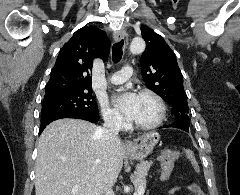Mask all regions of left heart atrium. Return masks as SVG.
Segmentation results:
<instances>
[{"label":"left heart atrium","mask_w":240,"mask_h":195,"mask_svg":"<svg viewBox=\"0 0 240 195\" xmlns=\"http://www.w3.org/2000/svg\"><path fill=\"white\" fill-rule=\"evenodd\" d=\"M139 96L135 93H127L117 99V105L123 114L133 120L136 114Z\"/></svg>","instance_id":"left-heart-atrium-1"}]
</instances>
